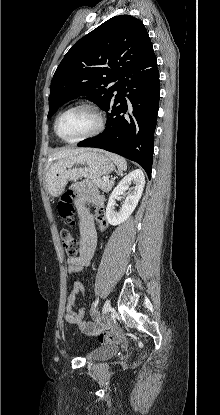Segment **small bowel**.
<instances>
[{"label":"small bowel","instance_id":"small-bowel-1","mask_svg":"<svg viewBox=\"0 0 220 415\" xmlns=\"http://www.w3.org/2000/svg\"><path fill=\"white\" fill-rule=\"evenodd\" d=\"M78 197L75 200L79 217V246L78 258L69 261V271L80 272L88 268L96 250V228L103 231L108 223L105 215L98 217L93 213L95 208H104L105 199L94 183L89 180L80 181L75 185ZM83 293V285L75 283L67 297L65 320L68 324L76 326L82 333L89 336H98L102 344H109L112 339H100V334L109 329L106 322L90 323L85 318L83 306L78 307L76 302Z\"/></svg>","mask_w":220,"mask_h":415}]
</instances>
